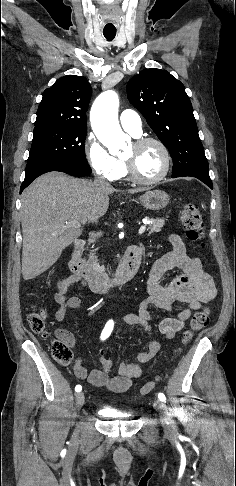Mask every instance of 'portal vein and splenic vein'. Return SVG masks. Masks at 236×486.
Segmentation results:
<instances>
[{"instance_id": "18ae733b", "label": "portal vein and splenic vein", "mask_w": 236, "mask_h": 486, "mask_svg": "<svg viewBox=\"0 0 236 486\" xmlns=\"http://www.w3.org/2000/svg\"><path fill=\"white\" fill-rule=\"evenodd\" d=\"M71 224H72V226H74V227H79V226H80V224H79L78 222H72ZM145 229H146V226H145V225H142V226L140 227V229H139V232H138V233H139L140 235H141V234H143V233L145 232Z\"/></svg>"}]
</instances>
